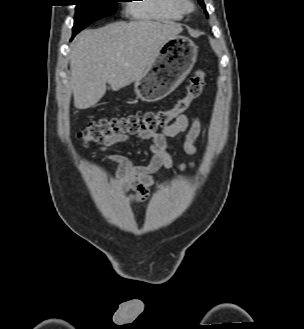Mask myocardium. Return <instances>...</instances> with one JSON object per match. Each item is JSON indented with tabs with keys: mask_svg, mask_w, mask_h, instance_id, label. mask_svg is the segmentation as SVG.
I'll list each match as a JSON object with an SVG mask.
<instances>
[{
	"mask_svg": "<svg viewBox=\"0 0 304 329\" xmlns=\"http://www.w3.org/2000/svg\"><path fill=\"white\" fill-rule=\"evenodd\" d=\"M178 9L183 14H190L195 10V4L192 0H176Z\"/></svg>",
	"mask_w": 304,
	"mask_h": 329,
	"instance_id": "1",
	"label": "myocardium"
}]
</instances>
